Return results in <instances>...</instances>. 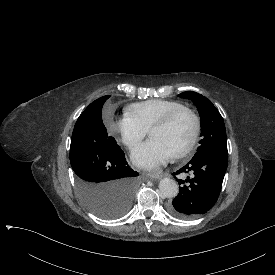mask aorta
<instances>
[{"mask_svg": "<svg viewBox=\"0 0 275 275\" xmlns=\"http://www.w3.org/2000/svg\"><path fill=\"white\" fill-rule=\"evenodd\" d=\"M159 190L163 197L173 198L177 196L179 188L175 180L170 178H163L159 182Z\"/></svg>", "mask_w": 275, "mask_h": 275, "instance_id": "obj_1", "label": "aorta"}]
</instances>
